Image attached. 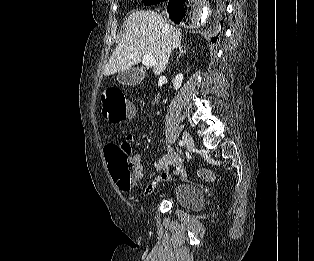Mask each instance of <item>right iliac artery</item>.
<instances>
[{"mask_svg": "<svg viewBox=\"0 0 314 261\" xmlns=\"http://www.w3.org/2000/svg\"><path fill=\"white\" fill-rule=\"evenodd\" d=\"M179 145H180V146H183V145H184V142H183L182 140H180V141H179Z\"/></svg>", "mask_w": 314, "mask_h": 261, "instance_id": "1", "label": "right iliac artery"}]
</instances>
